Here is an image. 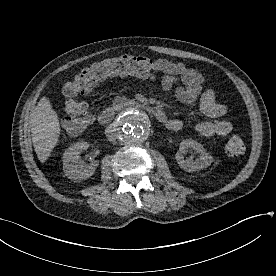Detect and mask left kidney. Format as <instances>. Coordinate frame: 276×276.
I'll return each instance as SVG.
<instances>
[{
	"label": "left kidney",
	"instance_id": "left-kidney-1",
	"mask_svg": "<svg viewBox=\"0 0 276 276\" xmlns=\"http://www.w3.org/2000/svg\"><path fill=\"white\" fill-rule=\"evenodd\" d=\"M189 150H193L199 154V158L193 161L192 159H185L184 155ZM176 160L180 168L187 172H195L207 168L213 162L212 156L205 150V148L198 142L192 139L183 140L180 143L179 151L176 153Z\"/></svg>",
	"mask_w": 276,
	"mask_h": 276
}]
</instances>
